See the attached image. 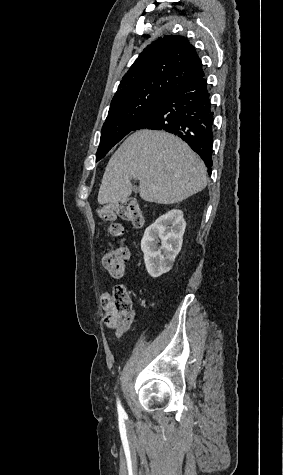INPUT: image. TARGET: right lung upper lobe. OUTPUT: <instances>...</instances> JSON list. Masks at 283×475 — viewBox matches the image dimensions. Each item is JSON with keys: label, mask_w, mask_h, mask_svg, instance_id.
<instances>
[{"label": "right lung upper lobe", "mask_w": 283, "mask_h": 475, "mask_svg": "<svg viewBox=\"0 0 283 475\" xmlns=\"http://www.w3.org/2000/svg\"><path fill=\"white\" fill-rule=\"evenodd\" d=\"M205 76L195 48L183 36L168 35L148 45L123 76L112 102L116 103Z\"/></svg>", "instance_id": "1"}]
</instances>
